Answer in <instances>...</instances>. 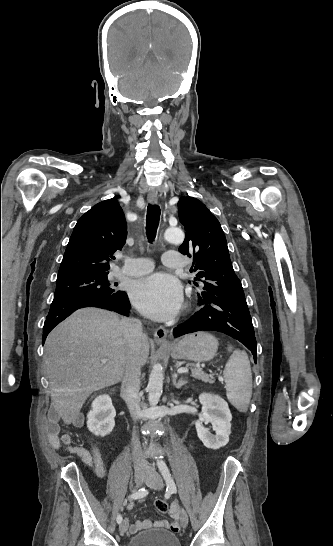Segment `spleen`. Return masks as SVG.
Masks as SVG:
<instances>
[{
    "label": "spleen",
    "mask_w": 333,
    "mask_h": 546,
    "mask_svg": "<svg viewBox=\"0 0 333 546\" xmlns=\"http://www.w3.org/2000/svg\"><path fill=\"white\" fill-rule=\"evenodd\" d=\"M225 365L223 376L225 379L226 395L230 403L240 412H246L252 395V372L246 352L233 350Z\"/></svg>",
    "instance_id": "obj_1"
}]
</instances>
